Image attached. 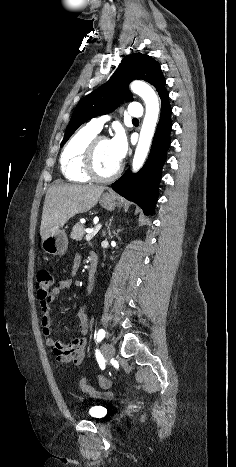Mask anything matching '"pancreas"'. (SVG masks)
Here are the masks:
<instances>
[{
  "label": "pancreas",
  "mask_w": 236,
  "mask_h": 467,
  "mask_svg": "<svg viewBox=\"0 0 236 467\" xmlns=\"http://www.w3.org/2000/svg\"><path fill=\"white\" fill-rule=\"evenodd\" d=\"M84 234H85V230H84L83 225L81 223H76L72 229L70 237L73 240L80 241L82 240Z\"/></svg>",
  "instance_id": "pancreas-1"
}]
</instances>
